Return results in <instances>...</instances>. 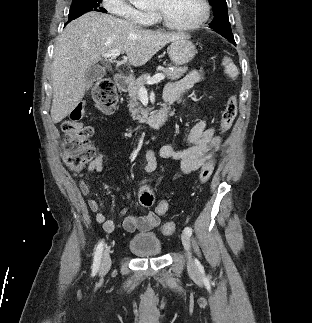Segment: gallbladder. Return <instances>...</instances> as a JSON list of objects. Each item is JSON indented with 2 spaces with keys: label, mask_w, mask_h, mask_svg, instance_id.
<instances>
[{
  "label": "gallbladder",
  "mask_w": 312,
  "mask_h": 323,
  "mask_svg": "<svg viewBox=\"0 0 312 323\" xmlns=\"http://www.w3.org/2000/svg\"><path fill=\"white\" fill-rule=\"evenodd\" d=\"M103 76H105V70L101 66H91V68H88L85 72L87 90L92 88L93 82H97L98 78H103Z\"/></svg>",
  "instance_id": "obj_1"
}]
</instances>
